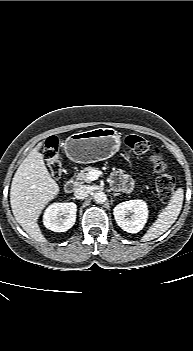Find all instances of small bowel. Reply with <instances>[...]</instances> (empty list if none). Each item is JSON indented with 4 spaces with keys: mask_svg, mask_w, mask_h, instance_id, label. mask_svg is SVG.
<instances>
[{
    "mask_svg": "<svg viewBox=\"0 0 193 351\" xmlns=\"http://www.w3.org/2000/svg\"><path fill=\"white\" fill-rule=\"evenodd\" d=\"M111 183L116 187V188H119V189H122V190H130L133 186V183L132 181L129 179V177L120 172V171H115L112 173L111 175Z\"/></svg>",
    "mask_w": 193,
    "mask_h": 351,
    "instance_id": "1",
    "label": "small bowel"
}]
</instances>
